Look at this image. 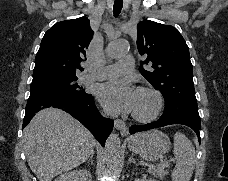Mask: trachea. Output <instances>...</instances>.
<instances>
[{
  "instance_id": "obj_1",
  "label": "trachea",
  "mask_w": 228,
  "mask_h": 181,
  "mask_svg": "<svg viewBox=\"0 0 228 181\" xmlns=\"http://www.w3.org/2000/svg\"><path fill=\"white\" fill-rule=\"evenodd\" d=\"M123 7V0H115L113 5L114 17H118Z\"/></svg>"
}]
</instances>
